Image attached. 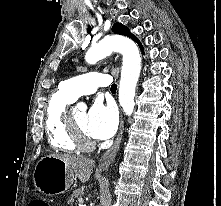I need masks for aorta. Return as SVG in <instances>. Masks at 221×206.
Here are the masks:
<instances>
[{"instance_id": "1", "label": "aorta", "mask_w": 221, "mask_h": 206, "mask_svg": "<svg viewBox=\"0 0 221 206\" xmlns=\"http://www.w3.org/2000/svg\"><path fill=\"white\" fill-rule=\"evenodd\" d=\"M113 51L123 56V66L119 87V102L126 115H131L134 109L136 84L141 70V57L136 44L121 35L107 36L93 45L86 53L85 60L89 64L110 55ZM84 108L83 104L78 105Z\"/></svg>"}]
</instances>
